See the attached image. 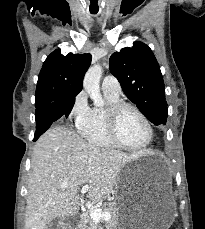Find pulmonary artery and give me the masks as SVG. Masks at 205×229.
Segmentation results:
<instances>
[{
	"label": "pulmonary artery",
	"mask_w": 205,
	"mask_h": 229,
	"mask_svg": "<svg viewBox=\"0 0 205 229\" xmlns=\"http://www.w3.org/2000/svg\"><path fill=\"white\" fill-rule=\"evenodd\" d=\"M102 89L113 95H119L121 91L120 84L114 76H106L102 82Z\"/></svg>",
	"instance_id": "1"
}]
</instances>
